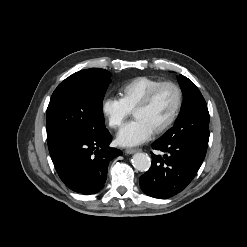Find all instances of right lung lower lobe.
Instances as JSON below:
<instances>
[{"label": "right lung lower lobe", "instance_id": "1", "mask_svg": "<svg viewBox=\"0 0 247 247\" xmlns=\"http://www.w3.org/2000/svg\"><path fill=\"white\" fill-rule=\"evenodd\" d=\"M111 141L105 128L96 134L74 136L48 146L57 173L66 186L84 195L103 189L109 161L122 155L120 150L109 147Z\"/></svg>", "mask_w": 247, "mask_h": 247}]
</instances>
